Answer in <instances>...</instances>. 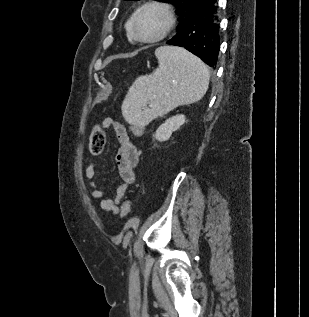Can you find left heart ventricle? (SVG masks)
Returning <instances> with one entry per match:
<instances>
[{
	"label": "left heart ventricle",
	"mask_w": 309,
	"mask_h": 317,
	"mask_svg": "<svg viewBox=\"0 0 309 317\" xmlns=\"http://www.w3.org/2000/svg\"><path fill=\"white\" fill-rule=\"evenodd\" d=\"M165 25L164 15L155 9L146 10L138 20V31L144 38L158 35Z\"/></svg>",
	"instance_id": "b2bd125f"
}]
</instances>
